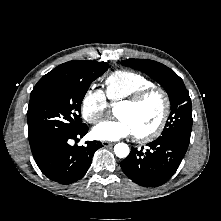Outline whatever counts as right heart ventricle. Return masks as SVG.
Returning <instances> with one entry per match:
<instances>
[{
    "label": "right heart ventricle",
    "instance_id": "e07e8e85",
    "mask_svg": "<svg viewBox=\"0 0 221 221\" xmlns=\"http://www.w3.org/2000/svg\"><path fill=\"white\" fill-rule=\"evenodd\" d=\"M103 86L107 100L111 104H116L143 89L154 86V83L140 73L118 70L105 78Z\"/></svg>",
    "mask_w": 221,
    "mask_h": 221
}]
</instances>
